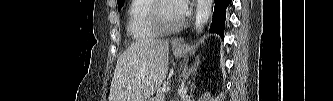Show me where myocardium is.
Returning <instances> with one entry per match:
<instances>
[{"instance_id":"obj_1","label":"myocardium","mask_w":333,"mask_h":101,"mask_svg":"<svg viewBox=\"0 0 333 101\" xmlns=\"http://www.w3.org/2000/svg\"><path fill=\"white\" fill-rule=\"evenodd\" d=\"M168 1H161L156 0L154 1L151 10H150V22L153 26V28L159 33V34H169L179 31L185 24V18L181 17V19L172 26H166L163 23V20L161 18V8L163 4Z\"/></svg>"}]
</instances>
